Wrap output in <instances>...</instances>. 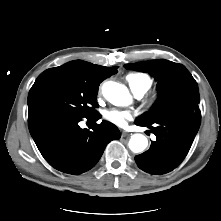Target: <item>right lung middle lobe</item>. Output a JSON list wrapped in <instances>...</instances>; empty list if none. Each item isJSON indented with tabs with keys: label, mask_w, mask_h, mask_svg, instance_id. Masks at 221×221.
<instances>
[{
	"label": "right lung middle lobe",
	"mask_w": 221,
	"mask_h": 221,
	"mask_svg": "<svg viewBox=\"0 0 221 221\" xmlns=\"http://www.w3.org/2000/svg\"><path fill=\"white\" fill-rule=\"evenodd\" d=\"M97 85L58 74L38 83L32 91V108L37 114L66 113L80 117L95 114Z\"/></svg>",
	"instance_id": "dd1d6c3e"
}]
</instances>
